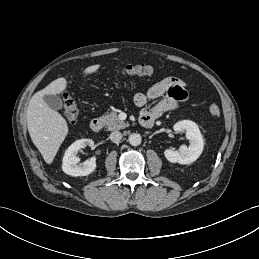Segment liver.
Wrapping results in <instances>:
<instances>
[{"label":"liver","mask_w":259,"mask_h":259,"mask_svg":"<svg viewBox=\"0 0 259 259\" xmlns=\"http://www.w3.org/2000/svg\"><path fill=\"white\" fill-rule=\"evenodd\" d=\"M99 67V64L89 66L84 70V74H92ZM66 87L67 81L63 77L52 81L32 96L27 109L29 135L47 164L53 162L68 134V125L61 114L46 104L43 97L60 94L65 91Z\"/></svg>","instance_id":"1"}]
</instances>
